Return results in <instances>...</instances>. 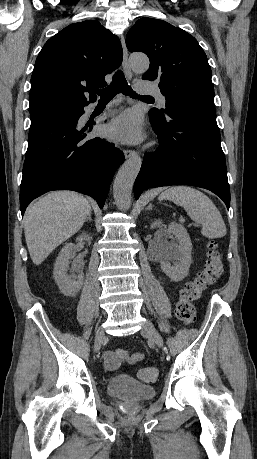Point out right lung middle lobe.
Here are the masks:
<instances>
[{
	"label": "right lung middle lobe",
	"mask_w": 257,
	"mask_h": 459,
	"mask_svg": "<svg viewBox=\"0 0 257 459\" xmlns=\"http://www.w3.org/2000/svg\"><path fill=\"white\" fill-rule=\"evenodd\" d=\"M68 109H69V110H75V109H77V107H70V108H68ZM56 110H57V109H56ZM53 111H55V110H50V111H46V112H42V113H49V112H53Z\"/></svg>",
	"instance_id": "right-lung-middle-lobe-1"
}]
</instances>
